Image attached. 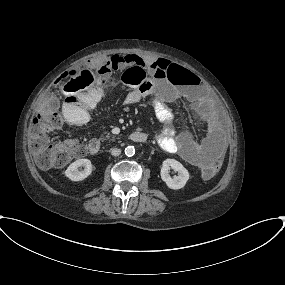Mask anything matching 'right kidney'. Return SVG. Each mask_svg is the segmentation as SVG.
<instances>
[{
	"mask_svg": "<svg viewBox=\"0 0 285 285\" xmlns=\"http://www.w3.org/2000/svg\"><path fill=\"white\" fill-rule=\"evenodd\" d=\"M84 167L83 170H79L80 167ZM92 172V164L89 159H78L71 163L65 171V176L72 181H82L87 178Z\"/></svg>",
	"mask_w": 285,
	"mask_h": 285,
	"instance_id": "obj_1",
	"label": "right kidney"
}]
</instances>
